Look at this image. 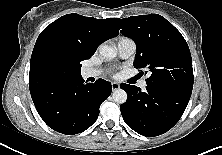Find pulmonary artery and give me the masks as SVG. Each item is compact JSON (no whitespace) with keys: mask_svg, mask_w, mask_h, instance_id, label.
I'll return each instance as SVG.
<instances>
[{"mask_svg":"<svg viewBox=\"0 0 222 155\" xmlns=\"http://www.w3.org/2000/svg\"><path fill=\"white\" fill-rule=\"evenodd\" d=\"M117 49L120 57L128 58L132 56L136 51V44L133 40L129 38H121L117 43ZM99 74L96 69H84L82 71V76L84 78L95 77ZM146 81L143 79L140 81L139 86L144 89L146 87Z\"/></svg>","mask_w":222,"mask_h":155,"instance_id":"1","label":"pulmonary artery"}]
</instances>
